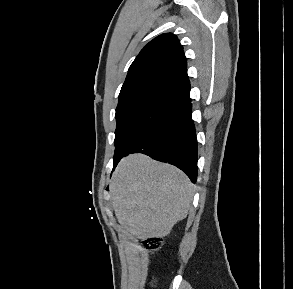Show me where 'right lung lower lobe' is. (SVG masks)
I'll return each mask as SVG.
<instances>
[{"mask_svg":"<svg viewBox=\"0 0 293 289\" xmlns=\"http://www.w3.org/2000/svg\"><path fill=\"white\" fill-rule=\"evenodd\" d=\"M191 101L165 115L125 149L114 155V167L130 153H143L153 159L168 162L197 180V139L191 117Z\"/></svg>","mask_w":293,"mask_h":289,"instance_id":"obj_1","label":"right lung lower lobe"}]
</instances>
